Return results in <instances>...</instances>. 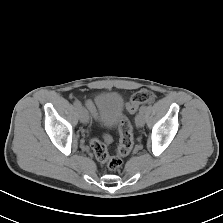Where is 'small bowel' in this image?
<instances>
[{"label":"small bowel","mask_w":223,"mask_h":223,"mask_svg":"<svg viewBox=\"0 0 223 223\" xmlns=\"http://www.w3.org/2000/svg\"><path fill=\"white\" fill-rule=\"evenodd\" d=\"M86 107L94 118H98V112L95 103L92 100L86 101Z\"/></svg>","instance_id":"1"}]
</instances>
